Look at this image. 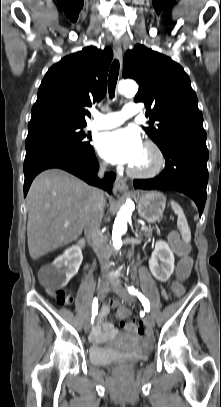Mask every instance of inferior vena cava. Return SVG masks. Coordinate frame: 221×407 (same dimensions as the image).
I'll return each instance as SVG.
<instances>
[{
  "instance_id": "1",
  "label": "inferior vena cava",
  "mask_w": 221,
  "mask_h": 407,
  "mask_svg": "<svg viewBox=\"0 0 221 407\" xmlns=\"http://www.w3.org/2000/svg\"><path fill=\"white\" fill-rule=\"evenodd\" d=\"M106 167L107 165L105 163L100 164V170L98 172L100 177L103 176ZM91 201L92 205L85 224L84 233L99 259L101 270L107 271L110 267V248L106 244V240L100 230L105 205L103 192L99 189H93Z\"/></svg>"
}]
</instances>
